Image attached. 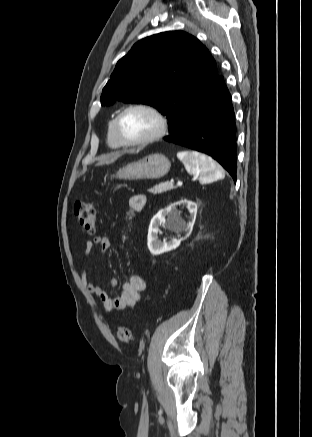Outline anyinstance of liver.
<instances>
[{
  "label": "liver",
  "instance_id": "6515ba94",
  "mask_svg": "<svg viewBox=\"0 0 312 437\" xmlns=\"http://www.w3.org/2000/svg\"><path fill=\"white\" fill-rule=\"evenodd\" d=\"M121 155L122 153L116 152L108 156H105L97 163V165L99 166V165L111 164L115 162L119 157H121Z\"/></svg>",
  "mask_w": 312,
  "mask_h": 437
}]
</instances>
